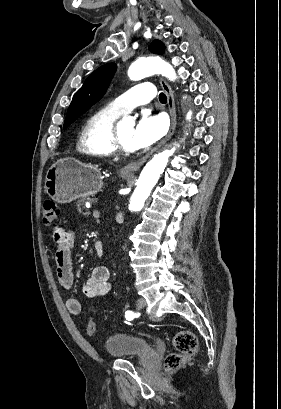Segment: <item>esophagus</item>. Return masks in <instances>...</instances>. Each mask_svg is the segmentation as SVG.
I'll use <instances>...</instances> for the list:
<instances>
[{
	"label": "esophagus",
	"mask_w": 281,
	"mask_h": 409,
	"mask_svg": "<svg viewBox=\"0 0 281 409\" xmlns=\"http://www.w3.org/2000/svg\"><path fill=\"white\" fill-rule=\"evenodd\" d=\"M160 84L161 87L163 88L164 92L166 93L167 100H168V108H169V114H170V120H171V125L170 129L168 131V134L166 137L152 150H150L144 157L141 159L137 160L136 162H131L128 165H125V167L122 168V172L128 173V174H133L136 172V170L140 169V167L146 162V160L162 145H164L173 135L174 130L176 128V107H175V101H174V95L173 91L170 87V85L164 80L160 79Z\"/></svg>",
	"instance_id": "esophagus-1"
}]
</instances>
